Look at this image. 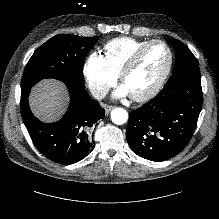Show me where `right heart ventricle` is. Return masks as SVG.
I'll return each instance as SVG.
<instances>
[{"mask_svg": "<svg viewBox=\"0 0 219 219\" xmlns=\"http://www.w3.org/2000/svg\"><path fill=\"white\" fill-rule=\"evenodd\" d=\"M149 40H139L132 37H117L104 45V58L115 74H119L125 62Z\"/></svg>", "mask_w": 219, "mask_h": 219, "instance_id": "obj_1", "label": "right heart ventricle"}]
</instances>
